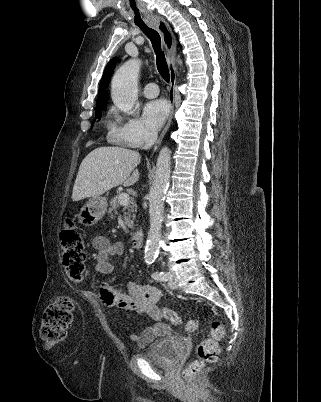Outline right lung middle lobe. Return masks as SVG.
Returning a JSON list of instances; mask_svg holds the SVG:
<instances>
[{
  "label": "right lung middle lobe",
  "instance_id": "dd1d6c3e",
  "mask_svg": "<svg viewBox=\"0 0 321 402\" xmlns=\"http://www.w3.org/2000/svg\"><path fill=\"white\" fill-rule=\"evenodd\" d=\"M106 107L107 106L96 108V110H95L96 118H101L102 110H106Z\"/></svg>",
  "mask_w": 321,
  "mask_h": 402
}]
</instances>
